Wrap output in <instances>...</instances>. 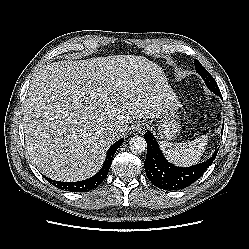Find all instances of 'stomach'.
<instances>
[{"instance_id":"0dacf381","label":"stomach","mask_w":249,"mask_h":249,"mask_svg":"<svg viewBox=\"0 0 249 249\" xmlns=\"http://www.w3.org/2000/svg\"><path fill=\"white\" fill-rule=\"evenodd\" d=\"M180 103L174 93L166 98L164 111L157 118V136L164 141H170L177 138L181 131V122L179 118Z\"/></svg>"}]
</instances>
